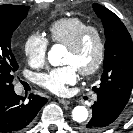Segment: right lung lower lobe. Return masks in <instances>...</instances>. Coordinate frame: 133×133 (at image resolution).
Segmentation results:
<instances>
[{"mask_svg":"<svg viewBox=\"0 0 133 133\" xmlns=\"http://www.w3.org/2000/svg\"><path fill=\"white\" fill-rule=\"evenodd\" d=\"M46 98L30 94L29 100L15 94L14 90L0 96V132H21L28 128Z\"/></svg>","mask_w":133,"mask_h":133,"instance_id":"right-lung-lower-lobe-1","label":"right lung lower lobe"}]
</instances>
